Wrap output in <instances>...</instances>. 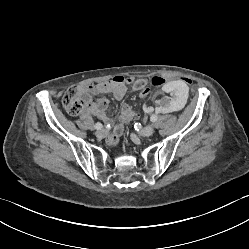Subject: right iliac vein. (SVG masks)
I'll return each instance as SVG.
<instances>
[{
    "label": "right iliac vein",
    "instance_id": "1",
    "mask_svg": "<svg viewBox=\"0 0 249 249\" xmlns=\"http://www.w3.org/2000/svg\"><path fill=\"white\" fill-rule=\"evenodd\" d=\"M107 132L105 129H99L98 131H96V136L98 138H104L106 136Z\"/></svg>",
    "mask_w": 249,
    "mask_h": 249
}]
</instances>
